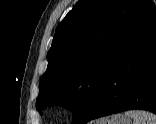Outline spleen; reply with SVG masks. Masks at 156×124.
<instances>
[{
	"instance_id": "spleen-1",
	"label": "spleen",
	"mask_w": 156,
	"mask_h": 124,
	"mask_svg": "<svg viewBox=\"0 0 156 124\" xmlns=\"http://www.w3.org/2000/svg\"><path fill=\"white\" fill-rule=\"evenodd\" d=\"M125 115L133 119V124H156V115L147 111H126Z\"/></svg>"
}]
</instances>
